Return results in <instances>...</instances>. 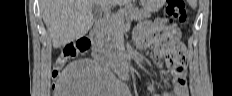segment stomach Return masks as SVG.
Listing matches in <instances>:
<instances>
[{
    "instance_id": "1",
    "label": "stomach",
    "mask_w": 232,
    "mask_h": 96,
    "mask_svg": "<svg viewBox=\"0 0 232 96\" xmlns=\"http://www.w3.org/2000/svg\"><path fill=\"white\" fill-rule=\"evenodd\" d=\"M165 0H142L145 11L155 12L163 6Z\"/></svg>"
}]
</instances>
